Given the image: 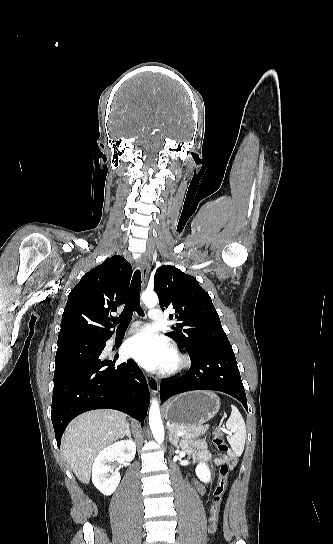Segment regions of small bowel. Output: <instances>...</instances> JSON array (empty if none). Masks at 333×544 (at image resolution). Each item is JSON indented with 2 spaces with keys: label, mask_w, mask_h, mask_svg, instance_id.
I'll list each match as a JSON object with an SVG mask.
<instances>
[{
  "label": "small bowel",
  "mask_w": 333,
  "mask_h": 544,
  "mask_svg": "<svg viewBox=\"0 0 333 544\" xmlns=\"http://www.w3.org/2000/svg\"><path fill=\"white\" fill-rule=\"evenodd\" d=\"M196 446L200 449L199 453L193 456V460L195 463L197 462H210L212 461L216 465H220L222 463H227L230 468L235 467L237 463V457L233 452H229L227 456H216L213 457V455L208 451L207 444L204 440H197ZM194 486L196 490L204 495L206 493L207 486L203 482L199 480H194Z\"/></svg>",
  "instance_id": "small-bowel-1"
}]
</instances>
